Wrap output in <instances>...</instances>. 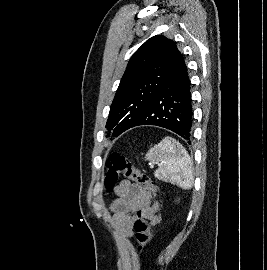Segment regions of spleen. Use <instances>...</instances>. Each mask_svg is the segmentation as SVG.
Listing matches in <instances>:
<instances>
[{"mask_svg":"<svg viewBox=\"0 0 267 270\" xmlns=\"http://www.w3.org/2000/svg\"><path fill=\"white\" fill-rule=\"evenodd\" d=\"M145 160L158 164L159 168L154 172L156 178L170 181L183 189H190L193 186L191 158L176 139L169 136L163 138L149 150Z\"/></svg>","mask_w":267,"mask_h":270,"instance_id":"1","label":"spleen"}]
</instances>
